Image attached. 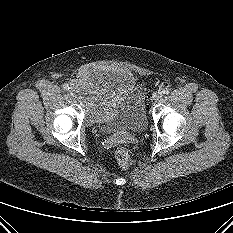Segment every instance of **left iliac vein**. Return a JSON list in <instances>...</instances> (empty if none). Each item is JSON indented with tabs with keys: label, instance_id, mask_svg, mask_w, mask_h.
I'll list each match as a JSON object with an SVG mask.
<instances>
[{
	"label": "left iliac vein",
	"instance_id": "left-iliac-vein-1",
	"mask_svg": "<svg viewBox=\"0 0 233 233\" xmlns=\"http://www.w3.org/2000/svg\"><path fill=\"white\" fill-rule=\"evenodd\" d=\"M162 97V92L161 91H157L153 94V100L154 101H158L160 98Z\"/></svg>",
	"mask_w": 233,
	"mask_h": 233
}]
</instances>
